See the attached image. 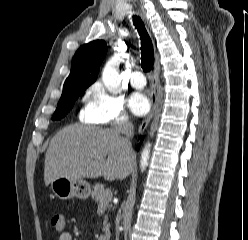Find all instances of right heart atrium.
Instances as JSON below:
<instances>
[{
  "mask_svg": "<svg viewBox=\"0 0 248 240\" xmlns=\"http://www.w3.org/2000/svg\"><path fill=\"white\" fill-rule=\"evenodd\" d=\"M82 118L92 124H127L128 114L121 98L111 94L101 82L91 84L85 94Z\"/></svg>",
  "mask_w": 248,
  "mask_h": 240,
  "instance_id": "d8ad5b80",
  "label": "right heart atrium"
}]
</instances>
